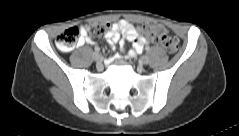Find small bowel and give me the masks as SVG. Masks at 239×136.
Instances as JSON below:
<instances>
[{
    "label": "small bowel",
    "instance_id": "1",
    "mask_svg": "<svg viewBox=\"0 0 239 136\" xmlns=\"http://www.w3.org/2000/svg\"><path fill=\"white\" fill-rule=\"evenodd\" d=\"M121 35L124 39L121 40ZM105 38L110 45H115L119 41L124 45V40L132 43V50L127 52L128 57L134 58L137 54L141 53L144 46L148 43L147 40L138 35V28L125 19H121L111 25L110 30L106 33ZM81 43L93 44L92 38L83 34Z\"/></svg>",
    "mask_w": 239,
    "mask_h": 136
}]
</instances>
